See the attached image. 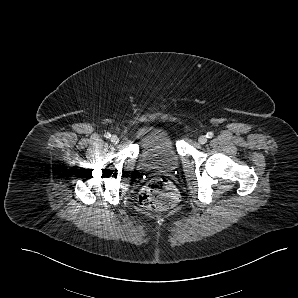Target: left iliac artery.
I'll list each match as a JSON object with an SVG mask.
<instances>
[{"label": "left iliac artery", "mask_w": 298, "mask_h": 298, "mask_svg": "<svg viewBox=\"0 0 298 298\" xmlns=\"http://www.w3.org/2000/svg\"><path fill=\"white\" fill-rule=\"evenodd\" d=\"M213 135H214L213 132H207V133H206V137H207V138H212Z\"/></svg>", "instance_id": "obj_1"}]
</instances>
